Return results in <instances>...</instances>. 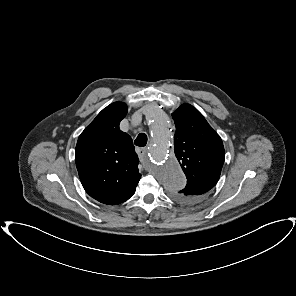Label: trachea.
I'll return each instance as SVG.
<instances>
[{
    "mask_svg": "<svg viewBox=\"0 0 296 296\" xmlns=\"http://www.w3.org/2000/svg\"><path fill=\"white\" fill-rule=\"evenodd\" d=\"M134 144L139 147H144L147 144V135L140 133L134 141Z\"/></svg>",
    "mask_w": 296,
    "mask_h": 296,
    "instance_id": "3493384b",
    "label": "trachea"
}]
</instances>
